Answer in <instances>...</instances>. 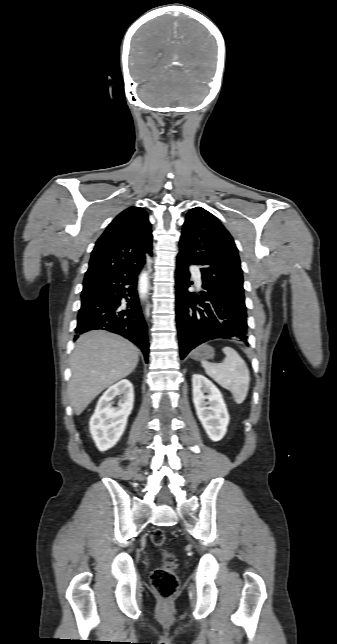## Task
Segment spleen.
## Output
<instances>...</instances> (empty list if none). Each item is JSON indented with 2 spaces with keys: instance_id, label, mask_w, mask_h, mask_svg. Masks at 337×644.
<instances>
[{
  "instance_id": "spleen-1",
  "label": "spleen",
  "mask_w": 337,
  "mask_h": 644,
  "mask_svg": "<svg viewBox=\"0 0 337 644\" xmlns=\"http://www.w3.org/2000/svg\"><path fill=\"white\" fill-rule=\"evenodd\" d=\"M226 355L221 363H210L202 360V366L208 376L215 380L220 386L229 390L237 404L243 403L246 399L250 373L245 361L230 347L222 349Z\"/></svg>"
}]
</instances>
